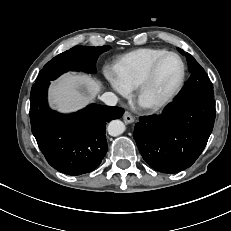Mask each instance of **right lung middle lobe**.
I'll return each mask as SVG.
<instances>
[{"label": "right lung middle lobe", "instance_id": "1", "mask_svg": "<svg viewBox=\"0 0 231 231\" xmlns=\"http://www.w3.org/2000/svg\"><path fill=\"white\" fill-rule=\"evenodd\" d=\"M110 46H75L49 61L40 71L36 83H49L67 71L96 72V61Z\"/></svg>", "mask_w": 231, "mask_h": 231}]
</instances>
